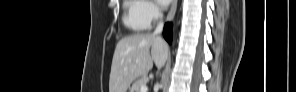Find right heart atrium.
I'll list each match as a JSON object with an SVG mask.
<instances>
[{"label":"right heart atrium","instance_id":"d8ad5b80","mask_svg":"<svg viewBox=\"0 0 296 92\" xmlns=\"http://www.w3.org/2000/svg\"><path fill=\"white\" fill-rule=\"evenodd\" d=\"M140 2V16L141 19L150 25L161 17V11L153 1H139Z\"/></svg>","mask_w":296,"mask_h":92}]
</instances>
